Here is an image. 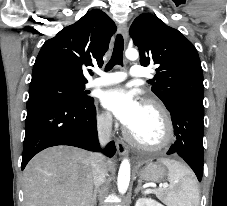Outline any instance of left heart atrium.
Wrapping results in <instances>:
<instances>
[{"label":"left heart atrium","mask_w":227,"mask_h":206,"mask_svg":"<svg viewBox=\"0 0 227 206\" xmlns=\"http://www.w3.org/2000/svg\"><path fill=\"white\" fill-rule=\"evenodd\" d=\"M101 102L129 130L135 127L143 110L141 102L124 87L106 90L102 94Z\"/></svg>","instance_id":"left-heart-atrium-1"}]
</instances>
